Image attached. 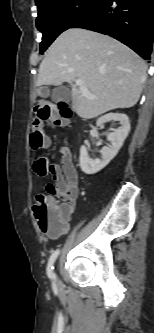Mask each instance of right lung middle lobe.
<instances>
[{"mask_svg": "<svg viewBox=\"0 0 154 333\" xmlns=\"http://www.w3.org/2000/svg\"><path fill=\"white\" fill-rule=\"evenodd\" d=\"M101 0H39L37 28L42 32L40 53L63 31L92 12Z\"/></svg>", "mask_w": 154, "mask_h": 333, "instance_id": "obj_1", "label": "right lung middle lobe"}]
</instances>
